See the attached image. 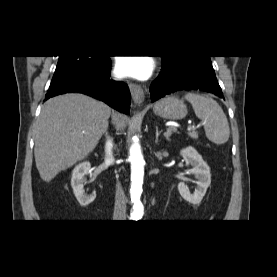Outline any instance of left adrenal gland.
<instances>
[{"label":"left adrenal gland","mask_w":277,"mask_h":277,"mask_svg":"<svg viewBox=\"0 0 277 277\" xmlns=\"http://www.w3.org/2000/svg\"><path fill=\"white\" fill-rule=\"evenodd\" d=\"M160 134H161V131H158V127H156V139H155L156 144H158V138Z\"/></svg>","instance_id":"obj_1"}]
</instances>
